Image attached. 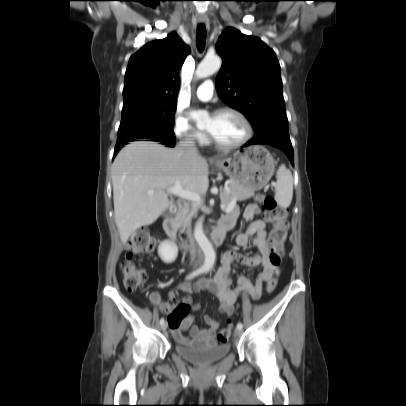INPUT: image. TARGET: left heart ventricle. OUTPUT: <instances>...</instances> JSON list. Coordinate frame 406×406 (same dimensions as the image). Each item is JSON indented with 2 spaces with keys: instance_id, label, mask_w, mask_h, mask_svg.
Returning a JSON list of instances; mask_svg holds the SVG:
<instances>
[{
  "instance_id": "obj_1",
  "label": "left heart ventricle",
  "mask_w": 406,
  "mask_h": 406,
  "mask_svg": "<svg viewBox=\"0 0 406 406\" xmlns=\"http://www.w3.org/2000/svg\"><path fill=\"white\" fill-rule=\"evenodd\" d=\"M205 130L225 144L236 143L245 134L242 121L233 113L210 116L205 123Z\"/></svg>"
}]
</instances>
